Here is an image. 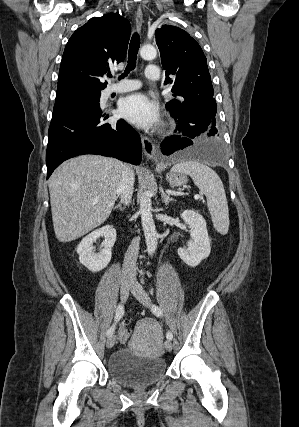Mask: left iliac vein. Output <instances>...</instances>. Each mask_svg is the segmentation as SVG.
I'll use <instances>...</instances> for the list:
<instances>
[{"instance_id": "1", "label": "left iliac vein", "mask_w": 299, "mask_h": 427, "mask_svg": "<svg viewBox=\"0 0 299 427\" xmlns=\"http://www.w3.org/2000/svg\"><path fill=\"white\" fill-rule=\"evenodd\" d=\"M130 290L131 293L135 296V298L139 300L143 305H145L146 307L150 306L151 299L149 295L137 281H131ZM164 346L167 351H171L173 348V344L169 339L164 342Z\"/></svg>"}]
</instances>
